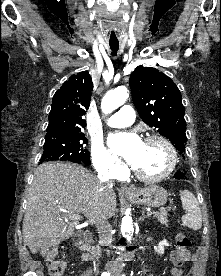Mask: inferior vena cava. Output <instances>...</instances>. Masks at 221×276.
<instances>
[{
    "mask_svg": "<svg viewBox=\"0 0 221 276\" xmlns=\"http://www.w3.org/2000/svg\"><path fill=\"white\" fill-rule=\"evenodd\" d=\"M98 178L100 182L108 181V177L99 172ZM93 223L95 224L98 234H99V243L102 246H110L112 243V227L109 224L108 220L102 216H97L94 218ZM113 265H117V262H113Z\"/></svg>",
    "mask_w": 221,
    "mask_h": 276,
    "instance_id": "inferior-vena-cava-1",
    "label": "inferior vena cava"
}]
</instances>
